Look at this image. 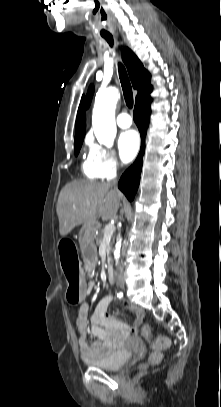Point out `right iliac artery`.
<instances>
[{
	"label": "right iliac artery",
	"mask_w": 221,
	"mask_h": 407,
	"mask_svg": "<svg viewBox=\"0 0 221 407\" xmlns=\"http://www.w3.org/2000/svg\"><path fill=\"white\" fill-rule=\"evenodd\" d=\"M123 294L120 292L117 294L118 297H121Z\"/></svg>",
	"instance_id": "82829eb1"
}]
</instances>
